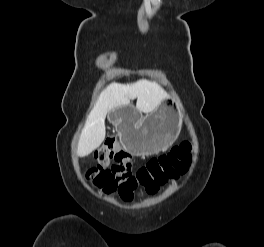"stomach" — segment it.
I'll list each match as a JSON object with an SVG mask.
<instances>
[{
	"instance_id": "1",
	"label": "stomach",
	"mask_w": 264,
	"mask_h": 247,
	"mask_svg": "<svg viewBox=\"0 0 264 247\" xmlns=\"http://www.w3.org/2000/svg\"><path fill=\"white\" fill-rule=\"evenodd\" d=\"M174 101H161V106L144 117H136L127 106L109 111L112 123L120 127L125 148L138 155H151L168 148L176 139L180 117Z\"/></svg>"
}]
</instances>
